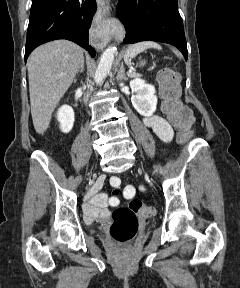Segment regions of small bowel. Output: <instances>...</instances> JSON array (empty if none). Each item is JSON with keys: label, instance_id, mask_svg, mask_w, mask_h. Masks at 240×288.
Returning <instances> with one entry per match:
<instances>
[{"label": "small bowel", "instance_id": "small-bowel-1", "mask_svg": "<svg viewBox=\"0 0 240 288\" xmlns=\"http://www.w3.org/2000/svg\"><path fill=\"white\" fill-rule=\"evenodd\" d=\"M146 127L150 128L162 141L169 142L173 136V129L167 120L158 115L147 116L143 120ZM103 178H100L91 188L87 195V202L84 205L86 220L92 222L98 218L108 217V206H117L119 204L118 194L120 192V179L112 177L110 182L113 186V196L108 198L104 192H101ZM135 193L134 187L128 185L124 190V196L129 199Z\"/></svg>", "mask_w": 240, "mask_h": 288}]
</instances>
